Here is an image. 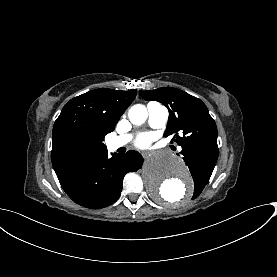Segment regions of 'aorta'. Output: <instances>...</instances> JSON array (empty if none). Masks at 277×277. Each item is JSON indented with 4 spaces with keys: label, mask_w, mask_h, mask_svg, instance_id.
Wrapping results in <instances>:
<instances>
[{
    "label": "aorta",
    "mask_w": 277,
    "mask_h": 277,
    "mask_svg": "<svg viewBox=\"0 0 277 277\" xmlns=\"http://www.w3.org/2000/svg\"><path fill=\"white\" fill-rule=\"evenodd\" d=\"M128 116L132 124L141 125L146 121L148 112L145 106L137 104L131 107ZM142 174L149 193L159 202L183 204L192 195L188 168L181 158L172 153H153L146 160Z\"/></svg>",
    "instance_id": "obj_1"
}]
</instances>
